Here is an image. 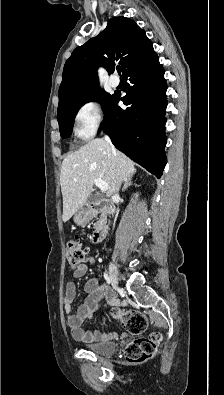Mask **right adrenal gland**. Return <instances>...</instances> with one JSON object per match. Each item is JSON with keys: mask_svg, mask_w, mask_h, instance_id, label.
<instances>
[{"mask_svg": "<svg viewBox=\"0 0 224 395\" xmlns=\"http://www.w3.org/2000/svg\"><path fill=\"white\" fill-rule=\"evenodd\" d=\"M131 185H133V183H132V178H128L127 180H125V184H124V186H123V188H122V192H124L125 189H126L127 187L131 186Z\"/></svg>", "mask_w": 224, "mask_h": 395, "instance_id": "right-adrenal-gland-1", "label": "right adrenal gland"}]
</instances>
